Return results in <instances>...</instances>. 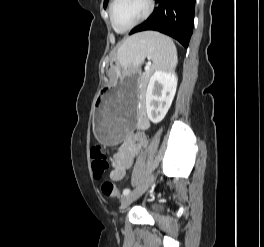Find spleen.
<instances>
[{"label": "spleen", "instance_id": "spleen-1", "mask_svg": "<svg viewBox=\"0 0 264 247\" xmlns=\"http://www.w3.org/2000/svg\"><path fill=\"white\" fill-rule=\"evenodd\" d=\"M124 70L136 71L145 58L152 61V69H173L176 67L177 50L173 41L158 32L147 31L137 34L122 45L117 54Z\"/></svg>", "mask_w": 264, "mask_h": 247}]
</instances>
